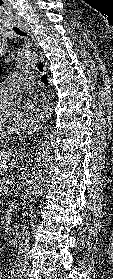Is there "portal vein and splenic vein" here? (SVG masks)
<instances>
[{
  "mask_svg": "<svg viewBox=\"0 0 113 279\" xmlns=\"http://www.w3.org/2000/svg\"><path fill=\"white\" fill-rule=\"evenodd\" d=\"M7 192H8V191H6V194H7ZM8 195H11V193H9Z\"/></svg>",
  "mask_w": 113,
  "mask_h": 279,
  "instance_id": "obj_1",
  "label": "portal vein and splenic vein"
}]
</instances>
